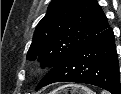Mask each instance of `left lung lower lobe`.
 <instances>
[{
  "instance_id": "1",
  "label": "left lung lower lobe",
  "mask_w": 121,
  "mask_h": 94,
  "mask_svg": "<svg viewBox=\"0 0 121 94\" xmlns=\"http://www.w3.org/2000/svg\"><path fill=\"white\" fill-rule=\"evenodd\" d=\"M55 82L92 84L121 94L112 28L109 26L67 55L43 77L36 90Z\"/></svg>"
}]
</instances>
